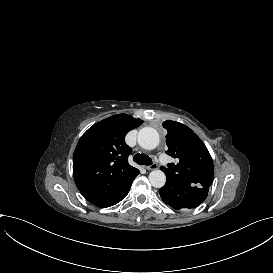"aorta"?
Instances as JSON below:
<instances>
[{"label":"aorta","instance_id":"762f6f07","mask_svg":"<svg viewBox=\"0 0 273 273\" xmlns=\"http://www.w3.org/2000/svg\"><path fill=\"white\" fill-rule=\"evenodd\" d=\"M138 144L146 150L155 149L160 143L158 132L150 127L142 128L138 133ZM149 181L155 188H161L166 183V175L161 170H153L149 174Z\"/></svg>","mask_w":273,"mask_h":273}]
</instances>
